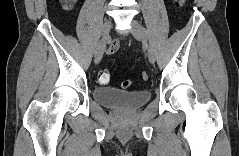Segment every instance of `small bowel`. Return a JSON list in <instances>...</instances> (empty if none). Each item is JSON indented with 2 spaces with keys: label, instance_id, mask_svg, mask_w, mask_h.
<instances>
[{
  "label": "small bowel",
  "instance_id": "small-bowel-1",
  "mask_svg": "<svg viewBox=\"0 0 239 156\" xmlns=\"http://www.w3.org/2000/svg\"><path fill=\"white\" fill-rule=\"evenodd\" d=\"M120 47V42L118 40H114L108 49L109 54H115Z\"/></svg>",
  "mask_w": 239,
  "mask_h": 156
}]
</instances>
